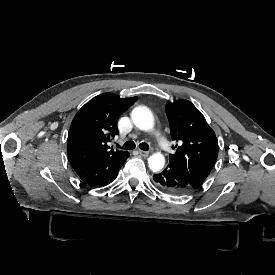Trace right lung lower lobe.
Wrapping results in <instances>:
<instances>
[{"mask_svg":"<svg viewBox=\"0 0 275 275\" xmlns=\"http://www.w3.org/2000/svg\"><path fill=\"white\" fill-rule=\"evenodd\" d=\"M129 157L127 152L119 158H108L73 167L80 179L91 186L101 187L111 183Z\"/></svg>","mask_w":275,"mask_h":275,"instance_id":"98d812e1","label":"right lung lower lobe"}]
</instances>
